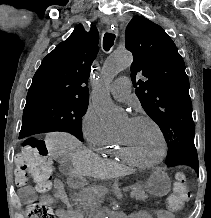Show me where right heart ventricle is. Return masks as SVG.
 I'll list each match as a JSON object with an SVG mask.
<instances>
[{
    "label": "right heart ventricle",
    "instance_id": "e07e8e85",
    "mask_svg": "<svg viewBox=\"0 0 211 218\" xmlns=\"http://www.w3.org/2000/svg\"><path fill=\"white\" fill-rule=\"evenodd\" d=\"M96 150L104 155L111 156L128 163H132L120 150L116 142L115 136H112L105 144H103Z\"/></svg>",
    "mask_w": 211,
    "mask_h": 218
}]
</instances>
